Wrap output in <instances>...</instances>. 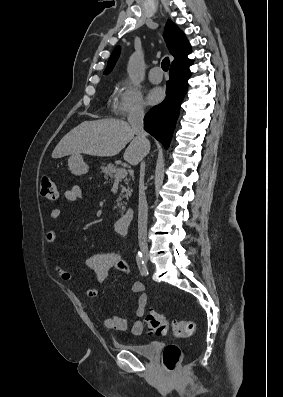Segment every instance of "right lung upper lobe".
Returning <instances> with one entry per match:
<instances>
[{
    "label": "right lung upper lobe",
    "instance_id": "obj_1",
    "mask_svg": "<svg viewBox=\"0 0 283 397\" xmlns=\"http://www.w3.org/2000/svg\"><path fill=\"white\" fill-rule=\"evenodd\" d=\"M164 38L170 53L174 56L172 66L189 61L187 55L191 53V47L183 32L171 20L167 21ZM120 53V47H116L107 63L104 74H108L113 69Z\"/></svg>",
    "mask_w": 283,
    "mask_h": 397
}]
</instances>
